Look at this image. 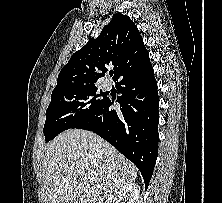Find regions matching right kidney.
Instances as JSON below:
<instances>
[{
	"label": "right kidney",
	"instance_id": "ca27d5eb",
	"mask_svg": "<svg viewBox=\"0 0 222 203\" xmlns=\"http://www.w3.org/2000/svg\"><path fill=\"white\" fill-rule=\"evenodd\" d=\"M140 187L136 183H128L118 189L105 203H137Z\"/></svg>",
	"mask_w": 222,
	"mask_h": 203
}]
</instances>
